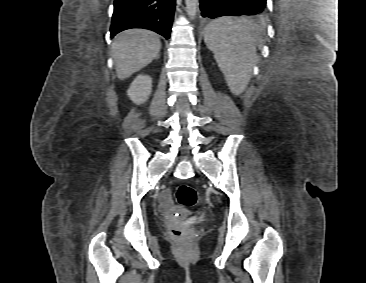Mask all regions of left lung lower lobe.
Listing matches in <instances>:
<instances>
[{
	"instance_id": "0a47b994",
	"label": "left lung lower lobe",
	"mask_w": 366,
	"mask_h": 283,
	"mask_svg": "<svg viewBox=\"0 0 366 283\" xmlns=\"http://www.w3.org/2000/svg\"><path fill=\"white\" fill-rule=\"evenodd\" d=\"M204 18L221 16H256L266 11V0H200ZM256 41V40H255Z\"/></svg>"
}]
</instances>
